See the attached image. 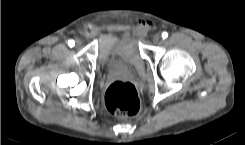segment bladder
Segmentation results:
<instances>
[{"mask_svg": "<svg viewBox=\"0 0 245 145\" xmlns=\"http://www.w3.org/2000/svg\"><path fill=\"white\" fill-rule=\"evenodd\" d=\"M99 65L112 72L127 68H140L144 58L131 33H105L98 52Z\"/></svg>", "mask_w": 245, "mask_h": 145, "instance_id": "1", "label": "bladder"}]
</instances>
